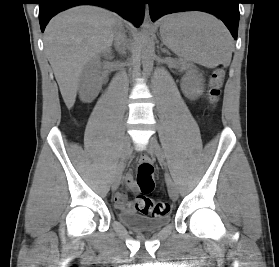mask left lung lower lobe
I'll use <instances>...</instances> for the list:
<instances>
[{"instance_id":"obj_1","label":"left lung lower lobe","mask_w":279,"mask_h":267,"mask_svg":"<svg viewBox=\"0 0 279 267\" xmlns=\"http://www.w3.org/2000/svg\"><path fill=\"white\" fill-rule=\"evenodd\" d=\"M151 20L181 11H204L219 17L237 39L239 0H149Z\"/></svg>"}]
</instances>
